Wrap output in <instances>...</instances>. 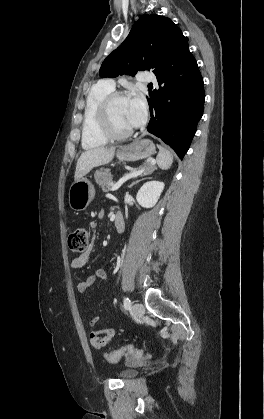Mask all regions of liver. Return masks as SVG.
Wrapping results in <instances>:
<instances>
[{
  "label": "liver",
  "instance_id": "liver-1",
  "mask_svg": "<svg viewBox=\"0 0 264 419\" xmlns=\"http://www.w3.org/2000/svg\"><path fill=\"white\" fill-rule=\"evenodd\" d=\"M115 146L110 148L98 147L84 151L79 157L76 165L74 179L80 180L88 174L92 168L108 164L114 157Z\"/></svg>",
  "mask_w": 264,
  "mask_h": 419
}]
</instances>
